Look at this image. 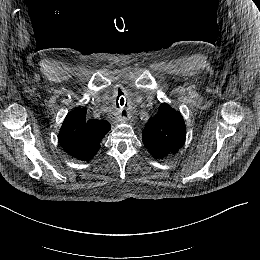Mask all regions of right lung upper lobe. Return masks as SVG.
Returning <instances> with one entry per match:
<instances>
[{
  "label": "right lung upper lobe",
  "mask_w": 260,
  "mask_h": 260,
  "mask_svg": "<svg viewBox=\"0 0 260 260\" xmlns=\"http://www.w3.org/2000/svg\"><path fill=\"white\" fill-rule=\"evenodd\" d=\"M86 108L77 107L67 114L58 135L61 147L72 157L88 161L98 152L100 142L111 129L109 122L88 119Z\"/></svg>",
  "instance_id": "cb5924a9"
}]
</instances>
